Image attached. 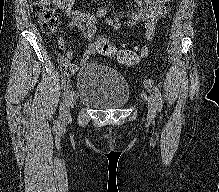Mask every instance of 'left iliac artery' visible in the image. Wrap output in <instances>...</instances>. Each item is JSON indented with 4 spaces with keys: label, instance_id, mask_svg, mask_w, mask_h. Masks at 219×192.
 Segmentation results:
<instances>
[{
    "label": "left iliac artery",
    "instance_id": "1",
    "mask_svg": "<svg viewBox=\"0 0 219 192\" xmlns=\"http://www.w3.org/2000/svg\"><path fill=\"white\" fill-rule=\"evenodd\" d=\"M150 83H146V87H149ZM154 94H155V102L158 111H161L162 109V97L159 90V87L157 85L154 86Z\"/></svg>",
    "mask_w": 219,
    "mask_h": 192
}]
</instances>
